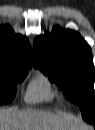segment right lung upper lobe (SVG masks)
Listing matches in <instances>:
<instances>
[{
	"label": "right lung upper lobe",
	"mask_w": 95,
	"mask_h": 130,
	"mask_svg": "<svg viewBox=\"0 0 95 130\" xmlns=\"http://www.w3.org/2000/svg\"><path fill=\"white\" fill-rule=\"evenodd\" d=\"M32 50L26 37L16 35L9 26L0 27V69H29Z\"/></svg>",
	"instance_id": "right-lung-upper-lobe-1"
}]
</instances>
